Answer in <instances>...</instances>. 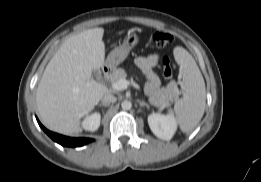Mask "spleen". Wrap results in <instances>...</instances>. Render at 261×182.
<instances>
[{"label": "spleen", "mask_w": 261, "mask_h": 182, "mask_svg": "<svg viewBox=\"0 0 261 182\" xmlns=\"http://www.w3.org/2000/svg\"><path fill=\"white\" fill-rule=\"evenodd\" d=\"M174 57L180 66L184 87L183 97L175 103L173 112L181 130L189 133L198 125L205 111V82L194 58L187 50L176 47Z\"/></svg>", "instance_id": "1"}]
</instances>
